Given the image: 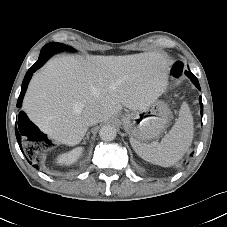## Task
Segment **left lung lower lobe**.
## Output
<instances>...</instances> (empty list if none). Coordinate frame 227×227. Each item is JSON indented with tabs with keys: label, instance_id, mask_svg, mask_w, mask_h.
<instances>
[{
	"label": "left lung lower lobe",
	"instance_id": "1",
	"mask_svg": "<svg viewBox=\"0 0 227 227\" xmlns=\"http://www.w3.org/2000/svg\"><path fill=\"white\" fill-rule=\"evenodd\" d=\"M195 86L200 89L199 83H196ZM201 98V97H200ZM200 105H201V116L203 115V104L202 101H200Z\"/></svg>",
	"mask_w": 227,
	"mask_h": 227
}]
</instances>
